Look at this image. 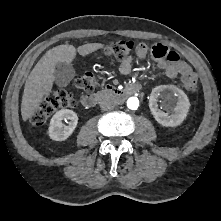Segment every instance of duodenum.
<instances>
[{"mask_svg": "<svg viewBox=\"0 0 221 221\" xmlns=\"http://www.w3.org/2000/svg\"><path fill=\"white\" fill-rule=\"evenodd\" d=\"M140 91V86L138 84H132L124 89H117L113 87H106L96 93L85 95L81 102L84 106L90 107L95 105L101 99L105 97H112L116 100H124L125 98L134 95Z\"/></svg>", "mask_w": 221, "mask_h": 221, "instance_id": "410a0bca", "label": "duodenum"}]
</instances>
